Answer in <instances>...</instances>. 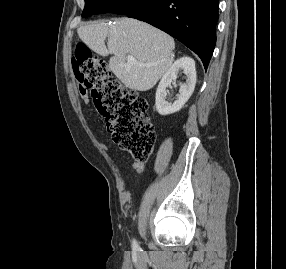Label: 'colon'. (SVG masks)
Wrapping results in <instances>:
<instances>
[{
	"label": "colon",
	"mask_w": 286,
	"mask_h": 269,
	"mask_svg": "<svg viewBox=\"0 0 286 269\" xmlns=\"http://www.w3.org/2000/svg\"><path fill=\"white\" fill-rule=\"evenodd\" d=\"M72 67L80 85L89 90L112 140L136 161H147L156 139L147 113L148 101L114 78L107 65L83 42L72 50Z\"/></svg>",
	"instance_id": "colon-1"
}]
</instances>
